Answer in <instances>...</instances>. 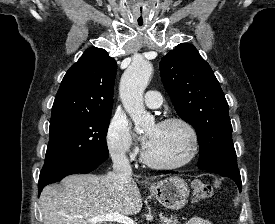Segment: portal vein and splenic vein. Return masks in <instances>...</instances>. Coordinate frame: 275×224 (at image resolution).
Wrapping results in <instances>:
<instances>
[{"instance_id":"obj_1","label":"portal vein and splenic vein","mask_w":275,"mask_h":224,"mask_svg":"<svg viewBox=\"0 0 275 224\" xmlns=\"http://www.w3.org/2000/svg\"><path fill=\"white\" fill-rule=\"evenodd\" d=\"M105 222H116L119 224H137L133 219L127 216L121 215L118 212L92 217L90 219L91 224L105 223Z\"/></svg>"}]
</instances>
